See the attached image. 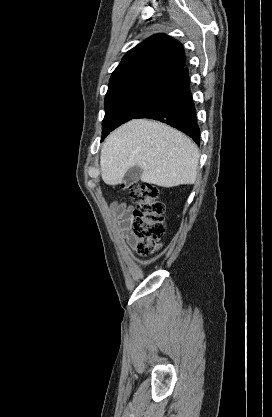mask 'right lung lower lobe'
Returning a JSON list of instances; mask_svg holds the SVG:
<instances>
[{"label":"right lung lower lobe","mask_w":272,"mask_h":417,"mask_svg":"<svg viewBox=\"0 0 272 417\" xmlns=\"http://www.w3.org/2000/svg\"><path fill=\"white\" fill-rule=\"evenodd\" d=\"M189 83L188 69L184 68L170 78L134 118H150L167 123L199 144L200 129Z\"/></svg>","instance_id":"right-lung-lower-lobe-1"}]
</instances>
